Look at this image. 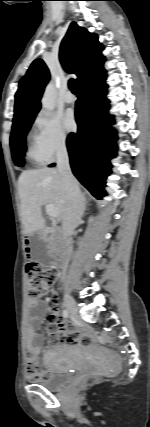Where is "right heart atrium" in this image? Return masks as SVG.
Wrapping results in <instances>:
<instances>
[{"instance_id": "obj_1", "label": "right heart atrium", "mask_w": 150, "mask_h": 427, "mask_svg": "<svg viewBox=\"0 0 150 427\" xmlns=\"http://www.w3.org/2000/svg\"><path fill=\"white\" fill-rule=\"evenodd\" d=\"M34 126L36 144L45 161L53 160L66 150L67 135L56 117L41 114Z\"/></svg>"}]
</instances>
